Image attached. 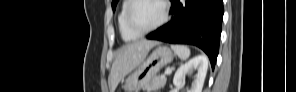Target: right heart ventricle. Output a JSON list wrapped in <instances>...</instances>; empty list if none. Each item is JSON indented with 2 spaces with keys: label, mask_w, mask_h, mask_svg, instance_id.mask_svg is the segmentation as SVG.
Listing matches in <instances>:
<instances>
[{
  "label": "right heart ventricle",
  "mask_w": 296,
  "mask_h": 92,
  "mask_svg": "<svg viewBox=\"0 0 296 92\" xmlns=\"http://www.w3.org/2000/svg\"><path fill=\"white\" fill-rule=\"evenodd\" d=\"M130 0H125L122 3V6L120 8L119 14H118V18H117V22H118V28L121 34V37L125 40V41H132L135 40L139 37V35L133 33L127 26L126 24V11L127 8L130 4Z\"/></svg>",
  "instance_id": "1"
}]
</instances>
